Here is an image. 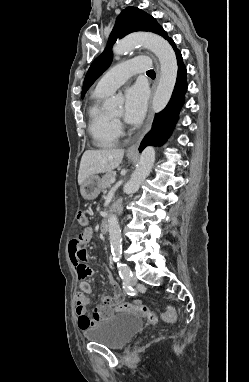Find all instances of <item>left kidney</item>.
<instances>
[{"mask_svg": "<svg viewBox=\"0 0 249 382\" xmlns=\"http://www.w3.org/2000/svg\"><path fill=\"white\" fill-rule=\"evenodd\" d=\"M108 264L111 266L113 263L110 261Z\"/></svg>", "mask_w": 249, "mask_h": 382, "instance_id": "left-kidney-1", "label": "left kidney"}]
</instances>
